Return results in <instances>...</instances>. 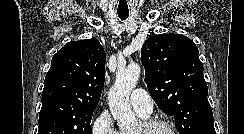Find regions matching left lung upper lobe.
<instances>
[{
    "label": "left lung upper lobe",
    "instance_id": "left-lung-upper-lobe-1",
    "mask_svg": "<svg viewBox=\"0 0 244 134\" xmlns=\"http://www.w3.org/2000/svg\"><path fill=\"white\" fill-rule=\"evenodd\" d=\"M198 55L192 40L173 33L150 36L141 49L150 95L179 134H216Z\"/></svg>",
    "mask_w": 244,
    "mask_h": 134
}]
</instances>
